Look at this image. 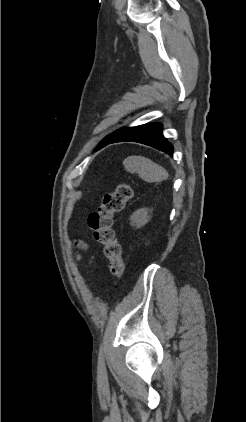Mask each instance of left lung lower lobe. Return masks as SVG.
Listing matches in <instances>:
<instances>
[{
    "label": "left lung lower lobe",
    "instance_id": "left-lung-lower-lobe-1",
    "mask_svg": "<svg viewBox=\"0 0 246 422\" xmlns=\"http://www.w3.org/2000/svg\"><path fill=\"white\" fill-rule=\"evenodd\" d=\"M138 142L156 148L168 155H173V146L164 138L162 126L158 123L144 124L128 128L115 139L108 140L96 150L116 142Z\"/></svg>",
    "mask_w": 246,
    "mask_h": 422
}]
</instances>
